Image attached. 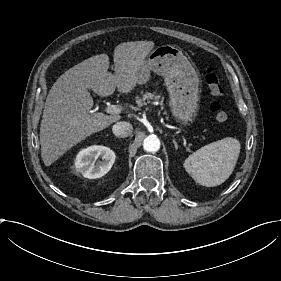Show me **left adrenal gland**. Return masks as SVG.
Returning <instances> with one entry per match:
<instances>
[{
  "label": "left adrenal gland",
  "instance_id": "1",
  "mask_svg": "<svg viewBox=\"0 0 281 281\" xmlns=\"http://www.w3.org/2000/svg\"><path fill=\"white\" fill-rule=\"evenodd\" d=\"M173 143H174V145H175V149L177 150V149H178V144H177V142H176L175 139H173Z\"/></svg>",
  "mask_w": 281,
  "mask_h": 281
}]
</instances>
